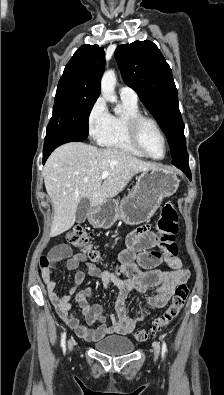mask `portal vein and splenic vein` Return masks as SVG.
<instances>
[{
	"label": "portal vein and splenic vein",
	"mask_w": 224,
	"mask_h": 395,
	"mask_svg": "<svg viewBox=\"0 0 224 395\" xmlns=\"http://www.w3.org/2000/svg\"><path fill=\"white\" fill-rule=\"evenodd\" d=\"M108 175H109V173L105 171L102 173L101 178L105 179Z\"/></svg>",
	"instance_id": "18ae733b"
}]
</instances>
